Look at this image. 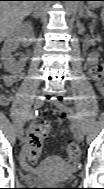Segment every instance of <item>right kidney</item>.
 Listing matches in <instances>:
<instances>
[{
	"label": "right kidney",
	"instance_id": "obj_1",
	"mask_svg": "<svg viewBox=\"0 0 104 189\" xmlns=\"http://www.w3.org/2000/svg\"><path fill=\"white\" fill-rule=\"evenodd\" d=\"M32 33L31 24H22L20 28L8 36L5 43L1 49V59L4 62L5 69L10 73H17L23 70L26 58L22 56L19 61H17L12 53L18 48L19 44L24 42L27 37Z\"/></svg>",
	"mask_w": 104,
	"mask_h": 189
}]
</instances>
